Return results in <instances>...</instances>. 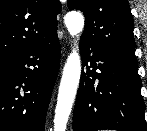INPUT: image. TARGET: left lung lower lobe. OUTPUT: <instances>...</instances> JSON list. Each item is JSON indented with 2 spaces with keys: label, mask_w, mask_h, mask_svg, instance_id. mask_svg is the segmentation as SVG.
Returning a JSON list of instances; mask_svg holds the SVG:
<instances>
[{
  "label": "left lung lower lobe",
  "mask_w": 147,
  "mask_h": 131,
  "mask_svg": "<svg viewBox=\"0 0 147 131\" xmlns=\"http://www.w3.org/2000/svg\"><path fill=\"white\" fill-rule=\"evenodd\" d=\"M80 53L73 131H147L138 66L83 39Z\"/></svg>",
  "instance_id": "0a47b994"
}]
</instances>
